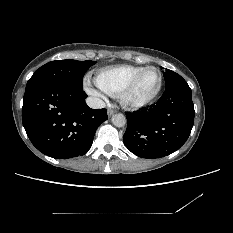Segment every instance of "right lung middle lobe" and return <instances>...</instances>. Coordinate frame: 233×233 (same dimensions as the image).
<instances>
[{
	"label": "right lung middle lobe",
	"mask_w": 233,
	"mask_h": 233,
	"mask_svg": "<svg viewBox=\"0 0 233 233\" xmlns=\"http://www.w3.org/2000/svg\"><path fill=\"white\" fill-rule=\"evenodd\" d=\"M96 62L92 60H56L48 62L35 71L28 80L26 89L45 82H60L82 88L84 73Z\"/></svg>",
	"instance_id": "obj_1"
}]
</instances>
